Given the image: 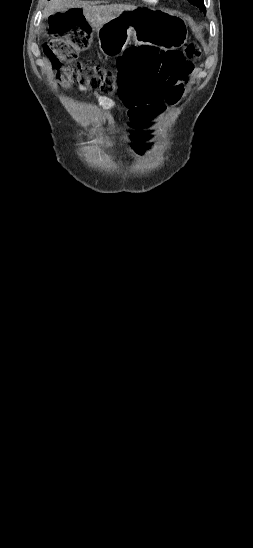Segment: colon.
I'll list each match as a JSON object with an SVG mask.
<instances>
[{"label": "colon", "instance_id": "5ec220e1", "mask_svg": "<svg viewBox=\"0 0 253 548\" xmlns=\"http://www.w3.org/2000/svg\"><path fill=\"white\" fill-rule=\"evenodd\" d=\"M51 24L56 38L45 47L44 53L57 71L58 84L62 87L78 84L107 95L119 92L124 104L130 105L134 148L139 156H144L154 148V143L148 141L146 127L166 112L167 105L182 98L188 75L201 56L199 46L191 42L182 51L167 52L145 45L132 47L113 69L78 59L79 51L90 42V28L81 10L56 13ZM156 57L162 60H153Z\"/></svg>", "mask_w": 253, "mask_h": 548}]
</instances>
